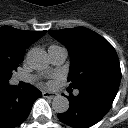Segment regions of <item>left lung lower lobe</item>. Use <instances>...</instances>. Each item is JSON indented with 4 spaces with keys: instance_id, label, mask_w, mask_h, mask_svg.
I'll use <instances>...</instances> for the list:
<instances>
[{
    "instance_id": "0a47b994",
    "label": "left lung lower lobe",
    "mask_w": 128,
    "mask_h": 128,
    "mask_svg": "<svg viewBox=\"0 0 128 128\" xmlns=\"http://www.w3.org/2000/svg\"><path fill=\"white\" fill-rule=\"evenodd\" d=\"M119 84L113 81H98L79 88L77 96L67 97L70 108L58 114L61 122L73 128H88L99 122L111 108Z\"/></svg>"
}]
</instances>
